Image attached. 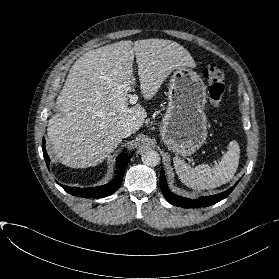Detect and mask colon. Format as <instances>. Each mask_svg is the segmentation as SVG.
Segmentation results:
<instances>
[{"mask_svg": "<svg viewBox=\"0 0 279 279\" xmlns=\"http://www.w3.org/2000/svg\"><path fill=\"white\" fill-rule=\"evenodd\" d=\"M204 76L208 83L209 100L213 107L219 108L223 102L225 91V74L222 66L210 61L204 68Z\"/></svg>", "mask_w": 279, "mask_h": 279, "instance_id": "1", "label": "colon"}]
</instances>
